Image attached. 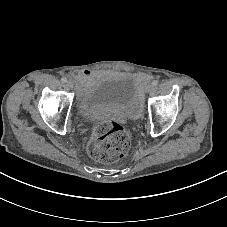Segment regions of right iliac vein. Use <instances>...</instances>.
<instances>
[{
  "label": "right iliac vein",
  "mask_w": 227,
  "mask_h": 227,
  "mask_svg": "<svg viewBox=\"0 0 227 227\" xmlns=\"http://www.w3.org/2000/svg\"><path fill=\"white\" fill-rule=\"evenodd\" d=\"M65 85L67 86L66 88H69V89L73 88V82L72 81H67Z\"/></svg>",
  "instance_id": "63e3f726"
}]
</instances>
